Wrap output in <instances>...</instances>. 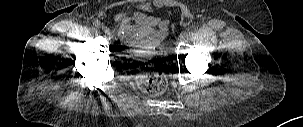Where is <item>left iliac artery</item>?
Here are the masks:
<instances>
[{
    "label": "left iliac artery",
    "instance_id": "obj_1",
    "mask_svg": "<svg viewBox=\"0 0 303 127\" xmlns=\"http://www.w3.org/2000/svg\"><path fill=\"white\" fill-rule=\"evenodd\" d=\"M185 36L187 37V38H192L193 37V32L191 31V30H186L185 32Z\"/></svg>",
    "mask_w": 303,
    "mask_h": 127
}]
</instances>
